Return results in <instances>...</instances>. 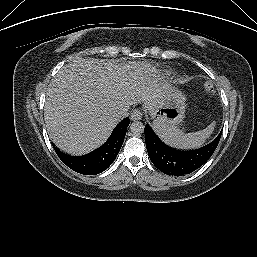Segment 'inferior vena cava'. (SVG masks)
Returning <instances> with one entry per match:
<instances>
[{
  "label": "inferior vena cava",
  "instance_id": "inferior-vena-cava-1",
  "mask_svg": "<svg viewBox=\"0 0 257 257\" xmlns=\"http://www.w3.org/2000/svg\"><path fill=\"white\" fill-rule=\"evenodd\" d=\"M129 115L128 108L124 107L118 110L117 117L121 120Z\"/></svg>",
  "mask_w": 257,
  "mask_h": 257
}]
</instances>
